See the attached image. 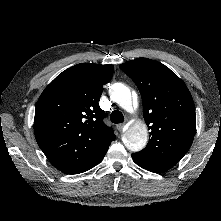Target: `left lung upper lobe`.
Returning <instances> with one entry per match:
<instances>
[{"label":"left lung upper lobe","instance_id":"left-lung-upper-lobe-1","mask_svg":"<svg viewBox=\"0 0 221 221\" xmlns=\"http://www.w3.org/2000/svg\"><path fill=\"white\" fill-rule=\"evenodd\" d=\"M119 67L137 85L151 131L147 146L137 153L174 166L195 135V106L188 88L168 67L151 59L137 58Z\"/></svg>","mask_w":221,"mask_h":221}]
</instances>
